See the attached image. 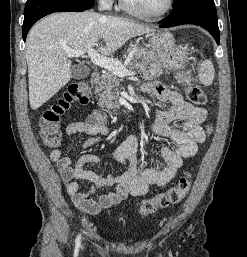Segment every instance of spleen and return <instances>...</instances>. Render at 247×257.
I'll return each instance as SVG.
<instances>
[{
    "mask_svg": "<svg viewBox=\"0 0 247 257\" xmlns=\"http://www.w3.org/2000/svg\"><path fill=\"white\" fill-rule=\"evenodd\" d=\"M214 73V67L210 60L202 62L199 74L201 83L205 86L211 85L213 82Z\"/></svg>",
    "mask_w": 247,
    "mask_h": 257,
    "instance_id": "3e777b00",
    "label": "spleen"
}]
</instances>
